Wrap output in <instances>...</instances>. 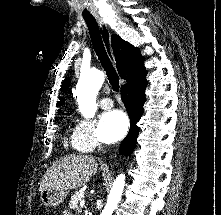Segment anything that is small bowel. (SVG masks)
I'll return each mask as SVG.
<instances>
[{
	"mask_svg": "<svg viewBox=\"0 0 221 215\" xmlns=\"http://www.w3.org/2000/svg\"><path fill=\"white\" fill-rule=\"evenodd\" d=\"M63 215H70V213L69 212H64V214Z\"/></svg>",
	"mask_w": 221,
	"mask_h": 215,
	"instance_id": "small-bowel-1",
	"label": "small bowel"
}]
</instances>
